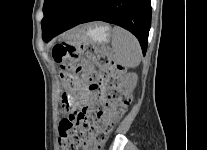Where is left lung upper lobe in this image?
I'll list each match as a JSON object with an SVG mask.
<instances>
[{
    "label": "left lung upper lobe",
    "mask_w": 207,
    "mask_h": 150,
    "mask_svg": "<svg viewBox=\"0 0 207 150\" xmlns=\"http://www.w3.org/2000/svg\"><path fill=\"white\" fill-rule=\"evenodd\" d=\"M73 0H45L44 18L41 21L42 34L51 30Z\"/></svg>",
    "instance_id": "5c2ea615"
}]
</instances>
